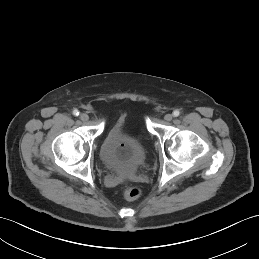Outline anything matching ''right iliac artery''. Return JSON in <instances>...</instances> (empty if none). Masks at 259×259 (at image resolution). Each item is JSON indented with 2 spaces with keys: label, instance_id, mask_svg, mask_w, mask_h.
I'll return each mask as SVG.
<instances>
[{
  "label": "right iliac artery",
  "instance_id": "1",
  "mask_svg": "<svg viewBox=\"0 0 259 259\" xmlns=\"http://www.w3.org/2000/svg\"><path fill=\"white\" fill-rule=\"evenodd\" d=\"M73 115L78 116V115H79V111H78L77 109H75V110L73 111Z\"/></svg>",
  "mask_w": 259,
  "mask_h": 259
}]
</instances>
